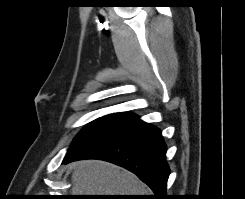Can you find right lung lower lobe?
Listing matches in <instances>:
<instances>
[{
    "instance_id": "obj_1",
    "label": "right lung lower lobe",
    "mask_w": 245,
    "mask_h": 199,
    "mask_svg": "<svg viewBox=\"0 0 245 199\" xmlns=\"http://www.w3.org/2000/svg\"><path fill=\"white\" fill-rule=\"evenodd\" d=\"M166 145L160 129L131 116L100 139L66 156L64 164L82 159H100L122 166L146 183L152 199H168L166 185L169 167Z\"/></svg>"
}]
</instances>
